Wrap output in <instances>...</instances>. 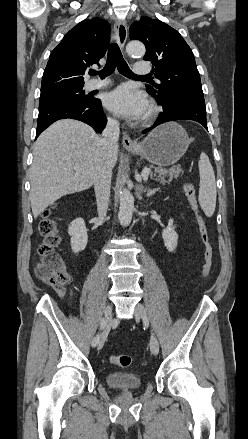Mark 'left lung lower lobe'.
Returning a JSON list of instances; mask_svg holds the SVG:
<instances>
[{"instance_id": "left-lung-lower-lobe-1", "label": "left lung lower lobe", "mask_w": 248, "mask_h": 439, "mask_svg": "<svg viewBox=\"0 0 248 439\" xmlns=\"http://www.w3.org/2000/svg\"><path fill=\"white\" fill-rule=\"evenodd\" d=\"M176 120H193L203 125L207 130L206 108L205 105L189 101H179L174 103L167 109H163V113L158 116L156 124L143 131L146 133L154 127Z\"/></svg>"}]
</instances>
